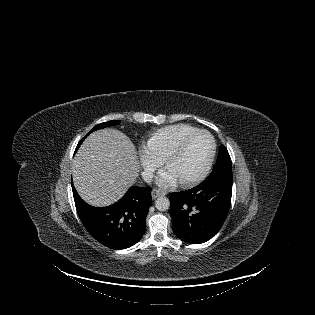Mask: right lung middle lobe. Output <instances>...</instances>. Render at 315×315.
Instances as JSON below:
<instances>
[{
    "label": "right lung middle lobe",
    "mask_w": 315,
    "mask_h": 315,
    "mask_svg": "<svg viewBox=\"0 0 315 315\" xmlns=\"http://www.w3.org/2000/svg\"><path fill=\"white\" fill-rule=\"evenodd\" d=\"M119 123H120V120H113V121H108V122L101 123V124L95 126L88 134H90L91 132H93L95 130H99V129H102L104 127L116 125V124H119Z\"/></svg>",
    "instance_id": "dd1d6c3e"
}]
</instances>
